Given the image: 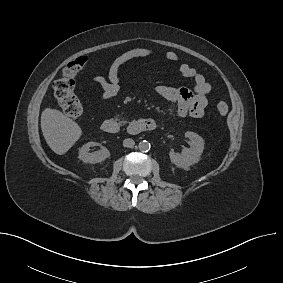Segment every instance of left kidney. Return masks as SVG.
I'll use <instances>...</instances> for the list:
<instances>
[{
  "instance_id": "1",
  "label": "left kidney",
  "mask_w": 283,
  "mask_h": 283,
  "mask_svg": "<svg viewBox=\"0 0 283 283\" xmlns=\"http://www.w3.org/2000/svg\"><path fill=\"white\" fill-rule=\"evenodd\" d=\"M185 137L190 140V148H185L181 153L171 151L169 153L170 160L179 168L188 170L190 166L197 163L204 150V140L198 134L187 131Z\"/></svg>"
}]
</instances>
